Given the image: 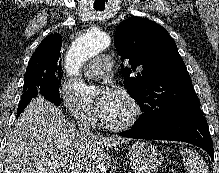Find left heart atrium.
I'll return each instance as SVG.
<instances>
[{"mask_svg": "<svg viewBox=\"0 0 219 173\" xmlns=\"http://www.w3.org/2000/svg\"><path fill=\"white\" fill-rule=\"evenodd\" d=\"M119 93L109 87L101 89L96 102V111L100 118L105 119L113 107Z\"/></svg>", "mask_w": 219, "mask_h": 173, "instance_id": "obj_1", "label": "left heart atrium"}]
</instances>
